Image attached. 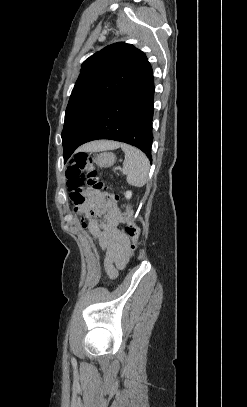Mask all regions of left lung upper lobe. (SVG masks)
<instances>
[{
	"label": "left lung upper lobe",
	"instance_id": "left-lung-upper-lobe-1",
	"mask_svg": "<svg viewBox=\"0 0 247 407\" xmlns=\"http://www.w3.org/2000/svg\"><path fill=\"white\" fill-rule=\"evenodd\" d=\"M148 65L146 55L127 43L112 44L84 61L65 112L61 134L64 162L111 101Z\"/></svg>",
	"mask_w": 247,
	"mask_h": 407
}]
</instances>
